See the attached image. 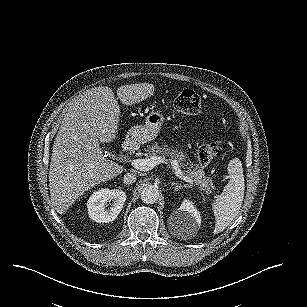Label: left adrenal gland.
I'll return each mask as SVG.
<instances>
[{"instance_id": "obj_1", "label": "left adrenal gland", "mask_w": 307, "mask_h": 307, "mask_svg": "<svg viewBox=\"0 0 307 307\" xmlns=\"http://www.w3.org/2000/svg\"><path fill=\"white\" fill-rule=\"evenodd\" d=\"M171 185L175 186V190L181 189L182 187H190V184H180L176 182H172Z\"/></svg>"}]
</instances>
